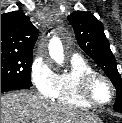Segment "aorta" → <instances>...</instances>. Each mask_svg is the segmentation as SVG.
<instances>
[{
  "mask_svg": "<svg viewBox=\"0 0 122 123\" xmlns=\"http://www.w3.org/2000/svg\"><path fill=\"white\" fill-rule=\"evenodd\" d=\"M49 55L57 64L63 63L64 61L63 47L58 39H54L50 42Z\"/></svg>",
  "mask_w": 122,
  "mask_h": 123,
  "instance_id": "obj_1",
  "label": "aorta"
}]
</instances>
